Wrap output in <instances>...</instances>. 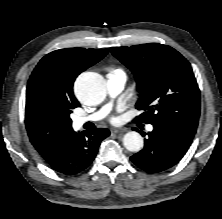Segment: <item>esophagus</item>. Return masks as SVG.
Returning a JSON list of instances; mask_svg holds the SVG:
<instances>
[{
    "label": "esophagus",
    "instance_id": "1",
    "mask_svg": "<svg viewBox=\"0 0 222 219\" xmlns=\"http://www.w3.org/2000/svg\"><path fill=\"white\" fill-rule=\"evenodd\" d=\"M112 134L114 135H117V134H120V133H124V130H121V129H113L111 131Z\"/></svg>",
    "mask_w": 222,
    "mask_h": 219
}]
</instances>
